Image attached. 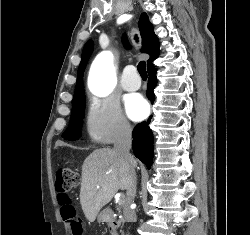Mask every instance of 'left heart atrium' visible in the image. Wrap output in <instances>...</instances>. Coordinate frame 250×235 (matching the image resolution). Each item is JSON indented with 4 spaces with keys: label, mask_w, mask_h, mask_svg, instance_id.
I'll use <instances>...</instances> for the list:
<instances>
[{
    "label": "left heart atrium",
    "mask_w": 250,
    "mask_h": 235,
    "mask_svg": "<svg viewBox=\"0 0 250 235\" xmlns=\"http://www.w3.org/2000/svg\"><path fill=\"white\" fill-rule=\"evenodd\" d=\"M128 113L134 120H140L147 114V104L140 97L133 98L127 107Z\"/></svg>",
    "instance_id": "1"
}]
</instances>
